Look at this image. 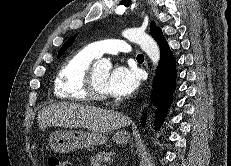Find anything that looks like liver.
<instances>
[{"label":"liver","mask_w":231,"mask_h":166,"mask_svg":"<svg viewBox=\"0 0 231 166\" xmlns=\"http://www.w3.org/2000/svg\"><path fill=\"white\" fill-rule=\"evenodd\" d=\"M37 120L41 130L52 126L80 127L101 133L113 131L130 123V119L122 113L69 102L54 103L42 108L38 112Z\"/></svg>","instance_id":"liver-1"}]
</instances>
